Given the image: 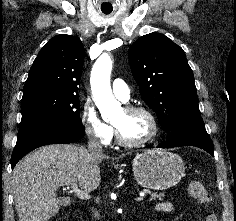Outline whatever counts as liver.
<instances>
[{"instance_id":"liver-1","label":"liver","mask_w":236,"mask_h":221,"mask_svg":"<svg viewBox=\"0 0 236 221\" xmlns=\"http://www.w3.org/2000/svg\"><path fill=\"white\" fill-rule=\"evenodd\" d=\"M104 155H93L75 145L55 144L28 154L13 170L12 187L19 221H47L59 211L57 189L78 183L85 192L101 181L98 164Z\"/></svg>"}]
</instances>
